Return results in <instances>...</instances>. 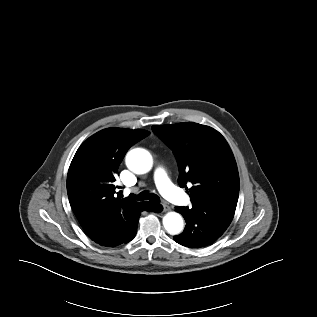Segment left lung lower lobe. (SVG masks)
<instances>
[{"label":"left lung lower lobe","instance_id":"left-lung-lower-lobe-1","mask_svg":"<svg viewBox=\"0 0 317 317\" xmlns=\"http://www.w3.org/2000/svg\"><path fill=\"white\" fill-rule=\"evenodd\" d=\"M186 221L184 231L174 240L186 247L200 248L216 241L230 225L234 210L209 206L195 205L192 208L176 207Z\"/></svg>","mask_w":317,"mask_h":317}]
</instances>
